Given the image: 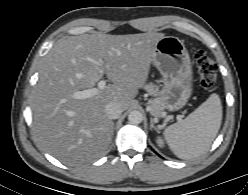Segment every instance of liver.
<instances>
[{
    "label": "liver",
    "mask_w": 248,
    "mask_h": 195,
    "mask_svg": "<svg viewBox=\"0 0 248 195\" xmlns=\"http://www.w3.org/2000/svg\"><path fill=\"white\" fill-rule=\"evenodd\" d=\"M163 37L157 32L82 34L57 42L43 59L32 97L33 131L44 149L70 166L105 154L114 129L105 106L117 102L129 108ZM104 74L113 84L90 98H74Z\"/></svg>",
    "instance_id": "liver-1"
}]
</instances>
